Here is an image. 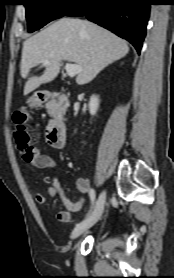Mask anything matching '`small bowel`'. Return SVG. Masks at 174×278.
<instances>
[{"label": "small bowel", "instance_id": "c3829d8e", "mask_svg": "<svg viewBox=\"0 0 174 278\" xmlns=\"http://www.w3.org/2000/svg\"><path fill=\"white\" fill-rule=\"evenodd\" d=\"M29 164L31 167L37 169L57 168V163L52 157L40 153L32 162H29ZM75 186L82 194L88 193L91 189L89 180L84 177L78 178L75 182ZM47 195L50 197L58 195L60 197L65 209L58 212L56 218L62 223L69 222L72 218V214L80 211L84 204L83 199L74 202L66 195L57 174L52 177L51 184L47 189ZM35 201L38 204L43 205L46 201V195L43 193H36Z\"/></svg>", "mask_w": 174, "mask_h": 278}]
</instances>
